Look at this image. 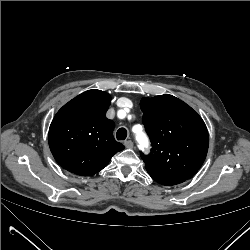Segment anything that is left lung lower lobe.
Listing matches in <instances>:
<instances>
[{
	"mask_svg": "<svg viewBox=\"0 0 250 250\" xmlns=\"http://www.w3.org/2000/svg\"><path fill=\"white\" fill-rule=\"evenodd\" d=\"M155 181H157L160 184L166 185V186H172V185H176L179 183H182L180 181L177 180H161V179H155Z\"/></svg>",
	"mask_w": 250,
	"mask_h": 250,
	"instance_id": "left-lung-lower-lobe-1",
	"label": "left lung lower lobe"
}]
</instances>
